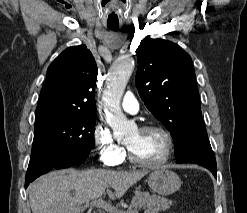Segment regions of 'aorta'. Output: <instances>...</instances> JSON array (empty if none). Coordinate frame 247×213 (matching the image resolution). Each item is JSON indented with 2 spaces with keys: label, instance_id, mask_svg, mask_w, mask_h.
<instances>
[{
  "label": "aorta",
  "instance_id": "1",
  "mask_svg": "<svg viewBox=\"0 0 247 213\" xmlns=\"http://www.w3.org/2000/svg\"><path fill=\"white\" fill-rule=\"evenodd\" d=\"M133 69L134 61L131 57L120 58L112 66L103 91L102 101L104 102L106 120L115 135H126L135 128V124L126 118L120 107L124 89Z\"/></svg>",
  "mask_w": 247,
  "mask_h": 213
}]
</instances>
